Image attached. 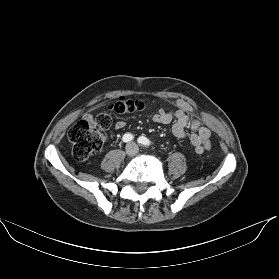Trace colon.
<instances>
[{
    "label": "colon",
    "mask_w": 279,
    "mask_h": 279,
    "mask_svg": "<svg viewBox=\"0 0 279 279\" xmlns=\"http://www.w3.org/2000/svg\"><path fill=\"white\" fill-rule=\"evenodd\" d=\"M145 108V102L140 99L119 97L109 104V109L120 114H129ZM111 125L110 117L99 114L93 121L84 119L71 127L68 133L73 145L72 154L75 160L83 162L92 154L101 150L105 136L103 131ZM207 151L211 149L210 140L204 141Z\"/></svg>",
    "instance_id": "obj_1"
}]
</instances>
